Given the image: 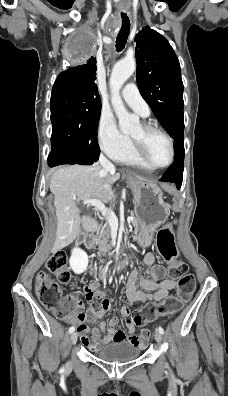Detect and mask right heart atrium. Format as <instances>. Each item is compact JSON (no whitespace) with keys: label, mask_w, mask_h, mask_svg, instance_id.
I'll list each match as a JSON object with an SVG mask.
<instances>
[{"label":"right heart atrium","mask_w":228,"mask_h":396,"mask_svg":"<svg viewBox=\"0 0 228 396\" xmlns=\"http://www.w3.org/2000/svg\"><path fill=\"white\" fill-rule=\"evenodd\" d=\"M97 139L100 148L114 160L122 158L131 148L130 139L118 130L112 117L104 111L98 120Z\"/></svg>","instance_id":"obj_1"}]
</instances>
